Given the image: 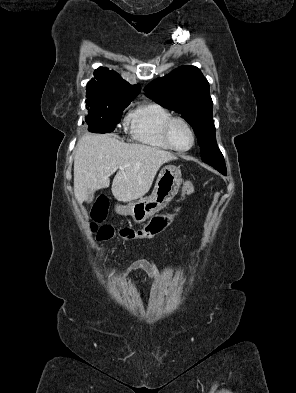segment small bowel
Instances as JSON below:
<instances>
[{
	"instance_id": "1",
	"label": "small bowel",
	"mask_w": 296,
	"mask_h": 393,
	"mask_svg": "<svg viewBox=\"0 0 296 393\" xmlns=\"http://www.w3.org/2000/svg\"><path fill=\"white\" fill-rule=\"evenodd\" d=\"M185 242L186 238L184 236L179 239L180 246L183 247L185 245ZM137 270L146 273L148 278L152 281H158L163 278L162 272L160 271L158 265L154 261L144 258L136 259L129 263L124 269L123 274L124 276H126L131 272Z\"/></svg>"
}]
</instances>
